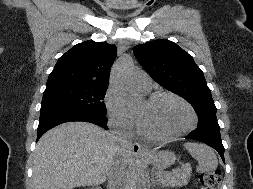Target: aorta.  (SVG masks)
<instances>
[{
    "label": "aorta",
    "mask_w": 253,
    "mask_h": 189,
    "mask_svg": "<svg viewBox=\"0 0 253 189\" xmlns=\"http://www.w3.org/2000/svg\"><path fill=\"white\" fill-rule=\"evenodd\" d=\"M133 70L132 60L124 58L114 66L112 71L114 87L130 108L137 107L142 101L141 95L133 89L131 84ZM132 189H146V178L141 168L135 171Z\"/></svg>",
    "instance_id": "762f6f07"
}]
</instances>
